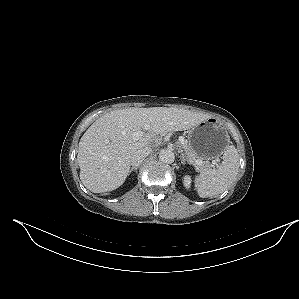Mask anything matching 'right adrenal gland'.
I'll return each instance as SVG.
<instances>
[{
	"instance_id": "1",
	"label": "right adrenal gland",
	"mask_w": 299,
	"mask_h": 299,
	"mask_svg": "<svg viewBox=\"0 0 299 299\" xmlns=\"http://www.w3.org/2000/svg\"><path fill=\"white\" fill-rule=\"evenodd\" d=\"M139 167H132L131 169H130V171H129V173H131L132 171H137V169H138Z\"/></svg>"
}]
</instances>
